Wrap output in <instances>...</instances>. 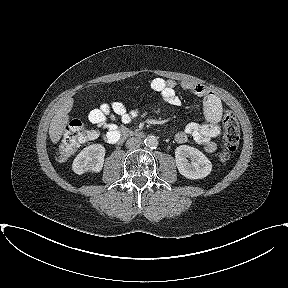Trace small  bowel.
I'll list each match as a JSON object with an SVG mask.
<instances>
[{
	"instance_id": "c3829d8e",
	"label": "small bowel",
	"mask_w": 288,
	"mask_h": 288,
	"mask_svg": "<svg viewBox=\"0 0 288 288\" xmlns=\"http://www.w3.org/2000/svg\"><path fill=\"white\" fill-rule=\"evenodd\" d=\"M179 85L202 99L206 122L187 124L175 135L176 142L185 143L191 137L196 143L202 145L206 152H214L216 144L213 139L220 134V122L225 111L220 98L206 86L198 83L182 81ZM177 86L174 80L160 77L154 78L150 83L153 91L157 92L166 103L175 107L180 106L182 102L176 91ZM138 114V109L128 110L122 101L117 100L93 109L88 119L98 128L105 130L103 138L107 142L116 143L127 129L119 127L115 121L119 119L123 124H129Z\"/></svg>"
}]
</instances>
